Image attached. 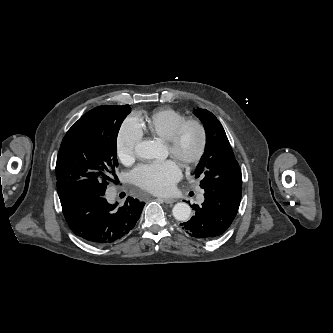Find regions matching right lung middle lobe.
I'll return each instance as SVG.
<instances>
[{
    "mask_svg": "<svg viewBox=\"0 0 333 333\" xmlns=\"http://www.w3.org/2000/svg\"><path fill=\"white\" fill-rule=\"evenodd\" d=\"M129 105L96 107L84 114L62 140L56 163L60 200L104 195L118 166L117 135Z\"/></svg>",
    "mask_w": 333,
    "mask_h": 333,
    "instance_id": "obj_1",
    "label": "right lung middle lobe"
}]
</instances>
